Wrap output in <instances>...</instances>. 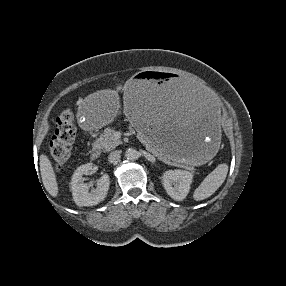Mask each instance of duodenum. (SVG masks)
<instances>
[{
  "instance_id": "410a0bca",
  "label": "duodenum",
  "mask_w": 286,
  "mask_h": 286,
  "mask_svg": "<svg viewBox=\"0 0 286 286\" xmlns=\"http://www.w3.org/2000/svg\"><path fill=\"white\" fill-rule=\"evenodd\" d=\"M98 157H99V150H98V148H94L91 151V158L92 159H97Z\"/></svg>"
}]
</instances>
